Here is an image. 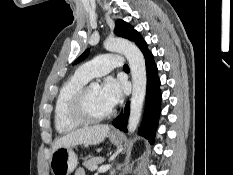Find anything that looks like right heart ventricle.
Wrapping results in <instances>:
<instances>
[{"label":"right heart ventricle","instance_id":"1","mask_svg":"<svg viewBox=\"0 0 233 175\" xmlns=\"http://www.w3.org/2000/svg\"><path fill=\"white\" fill-rule=\"evenodd\" d=\"M87 82V79L75 74L60 88L54 107V124L59 133H70L83 125L70 116L69 104L74 94Z\"/></svg>","mask_w":233,"mask_h":175}]
</instances>
